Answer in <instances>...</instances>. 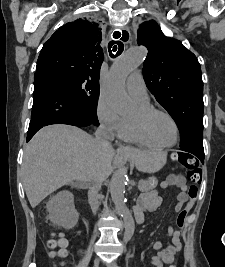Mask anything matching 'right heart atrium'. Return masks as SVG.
I'll list each match as a JSON object with an SVG mask.
<instances>
[{
	"instance_id": "obj_1",
	"label": "right heart atrium",
	"mask_w": 225,
	"mask_h": 267,
	"mask_svg": "<svg viewBox=\"0 0 225 267\" xmlns=\"http://www.w3.org/2000/svg\"><path fill=\"white\" fill-rule=\"evenodd\" d=\"M96 112L99 122L106 130L115 135L122 136L125 128V119L104 96L99 97Z\"/></svg>"
}]
</instances>
